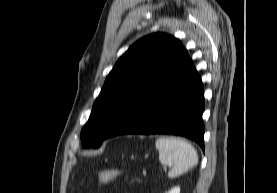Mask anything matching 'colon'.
I'll use <instances>...</instances> for the list:
<instances>
[{
    "label": "colon",
    "mask_w": 277,
    "mask_h": 193,
    "mask_svg": "<svg viewBox=\"0 0 277 193\" xmlns=\"http://www.w3.org/2000/svg\"><path fill=\"white\" fill-rule=\"evenodd\" d=\"M121 172L115 169H106L97 172L96 178L102 183H112L119 179Z\"/></svg>",
    "instance_id": "1"
}]
</instances>
